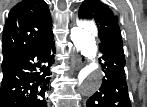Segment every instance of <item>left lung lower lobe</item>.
I'll return each mask as SVG.
<instances>
[{"mask_svg":"<svg viewBox=\"0 0 147 107\" xmlns=\"http://www.w3.org/2000/svg\"><path fill=\"white\" fill-rule=\"evenodd\" d=\"M99 50L102 53L99 61L105 76L99 91L87 100L86 107H131L125 80L122 38L113 37L100 43Z\"/></svg>","mask_w":147,"mask_h":107,"instance_id":"obj_1","label":"left lung lower lobe"}]
</instances>
